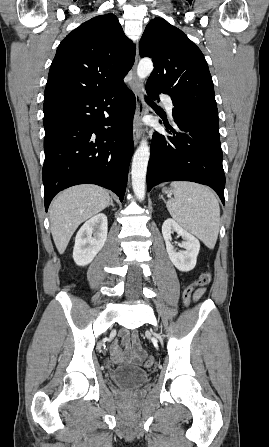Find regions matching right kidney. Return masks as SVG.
<instances>
[{
    "label": "right kidney",
    "mask_w": 269,
    "mask_h": 447,
    "mask_svg": "<svg viewBox=\"0 0 269 447\" xmlns=\"http://www.w3.org/2000/svg\"><path fill=\"white\" fill-rule=\"evenodd\" d=\"M108 231L105 214H97L80 227L75 237L73 259L77 265H87L102 249Z\"/></svg>",
    "instance_id": "ca27d5eb"
}]
</instances>
